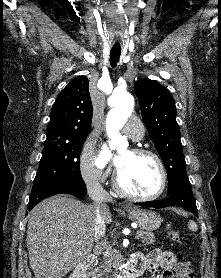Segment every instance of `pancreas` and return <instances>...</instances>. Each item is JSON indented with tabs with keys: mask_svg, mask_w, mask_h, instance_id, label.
I'll return each mask as SVG.
<instances>
[{
	"mask_svg": "<svg viewBox=\"0 0 221 278\" xmlns=\"http://www.w3.org/2000/svg\"><path fill=\"white\" fill-rule=\"evenodd\" d=\"M138 239L142 240L145 245H153L155 243V236L149 232L138 231L136 234ZM122 264V256L116 251L107 248L103 255V262L99 267L93 271L95 278H108V274L112 272V268H118Z\"/></svg>",
	"mask_w": 221,
	"mask_h": 278,
	"instance_id": "cf45deb5",
	"label": "pancreas"
}]
</instances>
